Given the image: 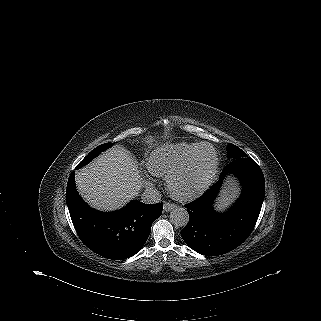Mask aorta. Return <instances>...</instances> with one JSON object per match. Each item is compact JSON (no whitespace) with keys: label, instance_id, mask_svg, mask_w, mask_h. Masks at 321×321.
<instances>
[{"label":"aorta","instance_id":"obj_1","mask_svg":"<svg viewBox=\"0 0 321 321\" xmlns=\"http://www.w3.org/2000/svg\"><path fill=\"white\" fill-rule=\"evenodd\" d=\"M171 222L176 227H185L189 222V213L187 209L175 207L170 214Z\"/></svg>","mask_w":321,"mask_h":321}]
</instances>
